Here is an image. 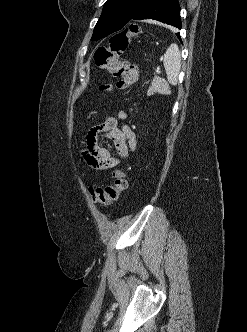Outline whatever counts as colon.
Instances as JSON below:
<instances>
[{"label": "colon", "mask_w": 247, "mask_h": 332, "mask_svg": "<svg viewBox=\"0 0 247 332\" xmlns=\"http://www.w3.org/2000/svg\"><path fill=\"white\" fill-rule=\"evenodd\" d=\"M141 29L138 25L132 24L127 29L112 36L107 46L99 47L94 54V60L99 68L107 70L114 77L119 78L116 88L127 89L138 79V71L135 65L123 61L120 56L127 49L130 39L140 35ZM101 90L111 89V85L104 84ZM113 182L104 187H90L89 193L94 202L104 205L111 204L118 200L126 190L128 182L123 169L117 168L112 172Z\"/></svg>", "instance_id": "obj_1"}]
</instances>
